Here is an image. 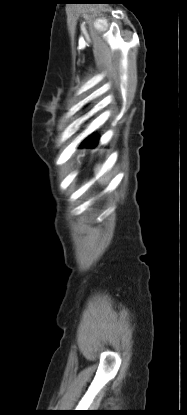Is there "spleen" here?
Returning <instances> with one entry per match:
<instances>
[{
    "label": "spleen",
    "instance_id": "3e777b00",
    "mask_svg": "<svg viewBox=\"0 0 187 415\" xmlns=\"http://www.w3.org/2000/svg\"><path fill=\"white\" fill-rule=\"evenodd\" d=\"M99 170H100V167H97V168L95 169V173H96V174H98ZM105 180H106V176H105V178L103 177V178H101V179H100V181H101V182H103V181H105Z\"/></svg>",
    "mask_w": 187,
    "mask_h": 415
}]
</instances>
